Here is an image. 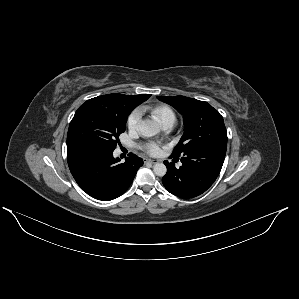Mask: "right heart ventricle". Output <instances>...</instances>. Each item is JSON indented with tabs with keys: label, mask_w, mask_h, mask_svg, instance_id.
I'll use <instances>...</instances> for the list:
<instances>
[{
	"label": "right heart ventricle",
	"mask_w": 299,
	"mask_h": 299,
	"mask_svg": "<svg viewBox=\"0 0 299 299\" xmlns=\"http://www.w3.org/2000/svg\"><path fill=\"white\" fill-rule=\"evenodd\" d=\"M151 112L162 125H173L176 120L175 112L167 105H157L151 109Z\"/></svg>",
	"instance_id": "obj_1"
}]
</instances>
